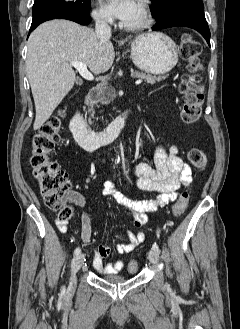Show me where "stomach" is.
Here are the masks:
<instances>
[{
  "instance_id": "obj_1",
  "label": "stomach",
  "mask_w": 240,
  "mask_h": 329,
  "mask_svg": "<svg viewBox=\"0 0 240 329\" xmlns=\"http://www.w3.org/2000/svg\"><path fill=\"white\" fill-rule=\"evenodd\" d=\"M178 48L159 32L139 35L131 43V58L140 70L154 75L169 72L178 62Z\"/></svg>"
}]
</instances>
